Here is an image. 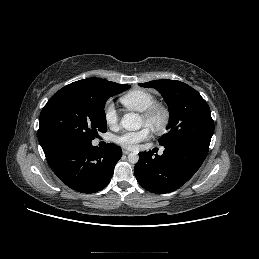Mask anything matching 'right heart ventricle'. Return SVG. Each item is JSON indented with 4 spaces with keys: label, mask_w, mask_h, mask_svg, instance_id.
Here are the masks:
<instances>
[{
    "label": "right heart ventricle",
    "mask_w": 259,
    "mask_h": 259,
    "mask_svg": "<svg viewBox=\"0 0 259 259\" xmlns=\"http://www.w3.org/2000/svg\"><path fill=\"white\" fill-rule=\"evenodd\" d=\"M120 102L130 110L142 112L148 108L151 104L156 102L154 94L143 89H134L120 98Z\"/></svg>",
    "instance_id": "e07e8e85"
}]
</instances>
